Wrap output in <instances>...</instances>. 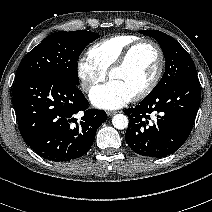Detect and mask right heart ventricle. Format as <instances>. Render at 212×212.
Instances as JSON below:
<instances>
[{
	"mask_svg": "<svg viewBox=\"0 0 212 212\" xmlns=\"http://www.w3.org/2000/svg\"><path fill=\"white\" fill-rule=\"evenodd\" d=\"M137 40L139 38L131 34H119L102 39L88 49V58L107 73L123 51Z\"/></svg>",
	"mask_w": 212,
	"mask_h": 212,
	"instance_id": "1",
	"label": "right heart ventricle"
}]
</instances>
